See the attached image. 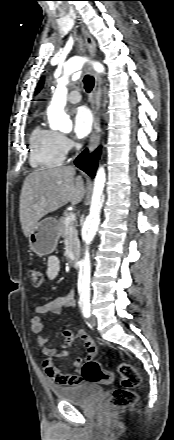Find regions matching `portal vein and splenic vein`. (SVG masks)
Returning <instances> with one entry per match:
<instances>
[{"label":"portal vein and splenic vein","instance_id":"portal-vein-and-splenic-vein-1","mask_svg":"<svg viewBox=\"0 0 174 440\" xmlns=\"http://www.w3.org/2000/svg\"><path fill=\"white\" fill-rule=\"evenodd\" d=\"M75 220H76V214L75 213H70L68 215V217L65 219L64 224L68 227V226L72 225Z\"/></svg>","mask_w":174,"mask_h":440}]
</instances>
